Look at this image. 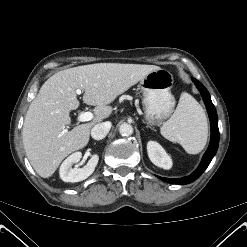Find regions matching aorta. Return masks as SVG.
<instances>
[{"instance_id":"1","label":"aorta","mask_w":247,"mask_h":247,"mask_svg":"<svg viewBox=\"0 0 247 247\" xmlns=\"http://www.w3.org/2000/svg\"><path fill=\"white\" fill-rule=\"evenodd\" d=\"M119 133L122 136H130L133 133L132 125H130L128 123H123L119 128Z\"/></svg>"}]
</instances>
